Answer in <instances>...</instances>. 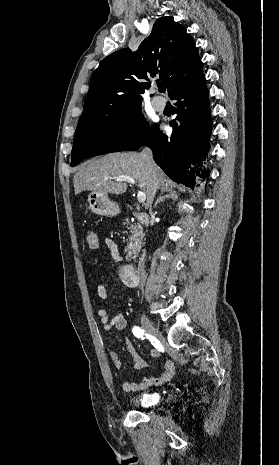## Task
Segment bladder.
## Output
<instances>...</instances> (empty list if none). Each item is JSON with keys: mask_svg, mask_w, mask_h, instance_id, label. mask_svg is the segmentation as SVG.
Instances as JSON below:
<instances>
[{"mask_svg": "<svg viewBox=\"0 0 279 465\" xmlns=\"http://www.w3.org/2000/svg\"><path fill=\"white\" fill-rule=\"evenodd\" d=\"M158 399L159 395L157 393H144L135 399V404L139 407L147 408L155 405Z\"/></svg>", "mask_w": 279, "mask_h": 465, "instance_id": "1", "label": "bladder"}]
</instances>
